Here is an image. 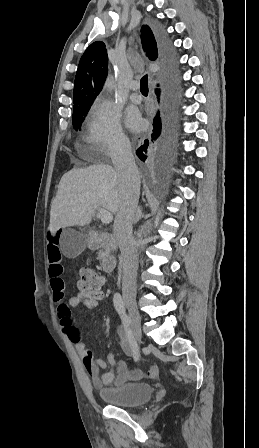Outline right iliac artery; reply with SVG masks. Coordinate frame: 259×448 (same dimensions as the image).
I'll return each instance as SVG.
<instances>
[{
    "instance_id": "obj_1",
    "label": "right iliac artery",
    "mask_w": 259,
    "mask_h": 448,
    "mask_svg": "<svg viewBox=\"0 0 259 448\" xmlns=\"http://www.w3.org/2000/svg\"><path fill=\"white\" fill-rule=\"evenodd\" d=\"M113 302H114V306L116 311L118 312V314L121 317L127 338L133 348V357L134 360L137 362L140 358V351H139V347L138 344L134 338V335L132 333V330L130 328V323L131 320L129 318V316L126 314L125 311V307H124V302L123 299L121 297V295L119 293H115L114 297H113Z\"/></svg>"
}]
</instances>
